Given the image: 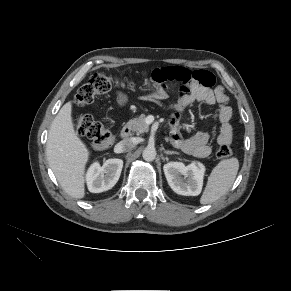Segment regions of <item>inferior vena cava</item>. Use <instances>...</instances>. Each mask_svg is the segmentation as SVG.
I'll return each instance as SVG.
<instances>
[{"mask_svg": "<svg viewBox=\"0 0 291 291\" xmlns=\"http://www.w3.org/2000/svg\"><path fill=\"white\" fill-rule=\"evenodd\" d=\"M121 152L131 151L135 146L136 142L133 138H126L119 142L118 144Z\"/></svg>", "mask_w": 291, "mask_h": 291, "instance_id": "602c4592", "label": "inferior vena cava"}]
</instances>
